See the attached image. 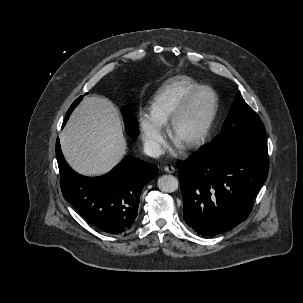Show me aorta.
Instances as JSON below:
<instances>
[{
  "label": "aorta",
  "mask_w": 303,
  "mask_h": 303,
  "mask_svg": "<svg viewBox=\"0 0 303 303\" xmlns=\"http://www.w3.org/2000/svg\"><path fill=\"white\" fill-rule=\"evenodd\" d=\"M157 184L162 192L171 193L178 189L179 182L177 178L172 175H163L158 179Z\"/></svg>",
  "instance_id": "obj_1"
}]
</instances>
